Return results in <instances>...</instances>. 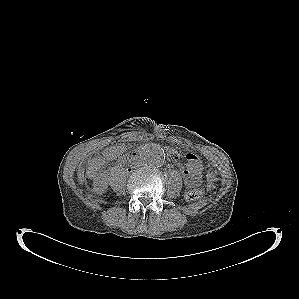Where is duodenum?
<instances>
[{
  "label": "duodenum",
  "instance_id": "obj_1",
  "mask_svg": "<svg viewBox=\"0 0 299 299\" xmlns=\"http://www.w3.org/2000/svg\"><path fill=\"white\" fill-rule=\"evenodd\" d=\"M137 156H138V152H137V151H133V152H131V153L128 155L126 161H127L128 163H130V162L134 161V160L137 158Z\"/></svg>",
  "mask_w": 299,
  "mask_h": 299
}]
</instances>
